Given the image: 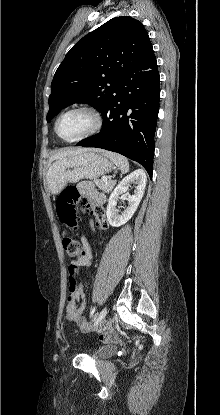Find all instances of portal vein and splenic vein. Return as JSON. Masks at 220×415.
I'll use <instances>...</instances> for the list:
<instances>
[{"label":"portal vein and splenic vein","instance_id":"obj_1","mask_svg":"<svg viewBox=\"0 0 220 415\" xmlns=\"http://www.w3.org/2000/svg\"><path fill=\"white\" fill-rule=\"evenodd\" d=\"M102 180H103V181H107V180H108V177H105V176H104V177H102Z\"/></svg>","mask_w":220,"mask_h":415}]
</instances>
